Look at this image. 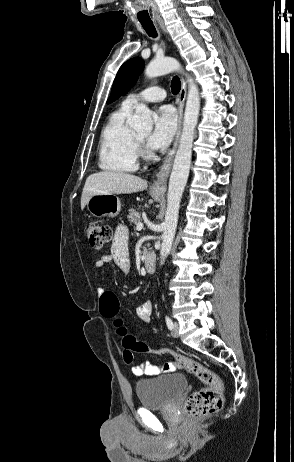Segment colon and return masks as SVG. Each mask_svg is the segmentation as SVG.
Here are the masks:
<instances>
[{
    "label": "colon",
    "mask_w": 294,
    "mask_h": 462,
    "mask_svg": "<svg viewBox=\"0 0 294 462\" xmlns=\"http://www.w3.org/2000/svg\"><path fill=\"white\" fill-rule=\"evenodd\" d=\"M84 230L90 246L96 251H101L112 240L111 228L106 224L90 221L85 224ZM100 310L102 315L112 320L117 328V333L122 339L123 358L126 363H133V352L168 356L176 366L194 374L205 385L187 398L185 410L189 416H207L222 408L223 383L216 373L193 359L135 339L123 325L120 317V302L113 291L106 290L100 296Z\"/></svg>",
    "instance_id": "5ec220e1"
}]
</instances>
